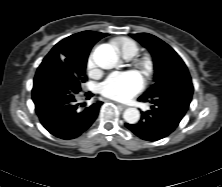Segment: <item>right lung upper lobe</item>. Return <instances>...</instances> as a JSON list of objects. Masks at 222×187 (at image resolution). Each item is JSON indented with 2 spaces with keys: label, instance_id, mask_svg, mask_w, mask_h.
Returning a JSON list of instances; mask_svg holds the SVG:
<instances>
[{
  "label": "right lung upper lobe",
  "instance_id": "cb5924a9",
  "mask_svg": "<svg viewBox=\"0 0 222 187\" xmlns=\"http://www.w3.org/2000/svg\"><path fill=\"white\" fill-rule=\"evenodd\" d=\"M107 35L95 31L76 33L57 43L47 56L77 54L88 58L92 46Z\"/></svg>",
  "mask_w": 222,
  "mask_h": 187
}]
</instances>
